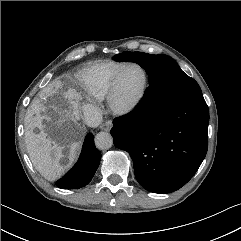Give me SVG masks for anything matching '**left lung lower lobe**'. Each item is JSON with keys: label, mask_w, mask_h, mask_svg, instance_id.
<instances>
[{"label": "left lung lower lobe", "mask_w": 241, "mask_h": 241, "mask_svg": "<svg viewBox=\"0 0 241 241\" xmlns=\"http://www.w3.org/2000/svg\"><path fill=\"white\" fill-rule=\"evenodd\" d=\"M208 123L202 93L172 100L155 82L131 113L113 120L111 135L114 145L132 157L141 186L169 193L184 186L204 160Z\"/></svg>", "instance_id": "obj_1"}]
</instances>
